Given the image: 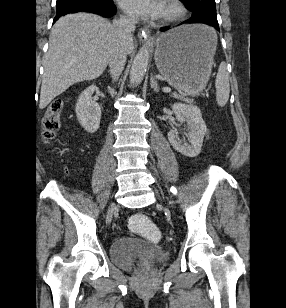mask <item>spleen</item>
I'll use <instances>...</instances> for the list:
<instances>
[{"mask_svg": "<svg viewBox=\"0 0 286 308\" xmlns=\"http://www.w3.org/2000/svg\"><path fill=\"white\" fill-rule=\"evenodd\" d=\"M216 101L219 106H224L230 93L229 75L226 70V64L221 63L215 80Z\"/></svg>", "mask_w": 286, "mask_h": 308, "instance_id": "spleen-1", "label": "spleen"}]
</instances>
